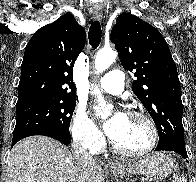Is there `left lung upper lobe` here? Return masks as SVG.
<instances>
[{"label": "left lung upper lobe", "instance_id": "obj_1", "mask_svg": "<svg viewBox=\"0 0 196 182\" xmlns=\"http://www.w3.org/2000/svg\"><path fill=\"white\" fill-rule=\"evenodd\" d=\"M110 37L124 69L136 70L132 90L155 122L157 146H185L180 81L161 33L140 18L122 13Z\"/></svg>", "mask_w": 196, "mask_h": 182}]
</instances>
